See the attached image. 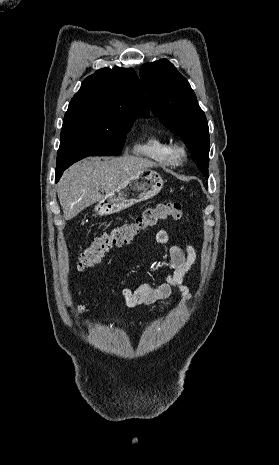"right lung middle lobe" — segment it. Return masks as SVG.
<instances>
[{
	"label": "right lung middle lobe",
	"mask_w": 279,
	"mask_h": 465,
	"mask_svg": "<svg viewBox=\"0 0 279 465\" xmlns=\"http://www.w3.org/2000/svg\"><path fill=\"white\" fill-rule=\"evenodd\" d=\"M135 119L136 117L132 116H119L99 126L79 125L62 128L57 168H68L87 156L120 154L126 133Z\"/></svg>",
	"instance_id": "right-lung-middle-lobe-1"
}]
</instances>
